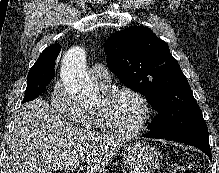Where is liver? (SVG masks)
Instances as JSON below:
<instances>
[{
	"instance_id": "liver-1",
	"label": "liver",
	"mask_w": 219,
	"mask_h": 173,
	"mask_svg": "<svg viewBox=\"0 0 219 173\" xmlns=\"http://www.w3.org/2000/svg\"><path fill=\"white\" fill-rule=\"evenodd\" d=\"M14 121L5 173H52L80 162L86 163V173H105L123 142L73 126L42 98L25 103Z\"/></svg>"
}]
</instances>
